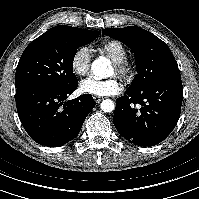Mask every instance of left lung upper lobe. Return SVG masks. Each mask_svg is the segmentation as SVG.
I'll return each mask as SVG.
<instances>
[{
    "instance_id": "1",
    "label": "left lung upper lobe",
    "mask_w": 199,
    "mask_h": 199,
    "mask_svg": "<svg viewBox=\"0 0 199 199\" xmlns=\"http://www.w3.org/2000/svg\"><path fill=\"white\" fill-rule=\"evenodd\" d=\"M103 34L123 42L134 52L138 74L129 90H141L156 80L180 75L169 47L152 33L136 26H127L107 28Z\"/></svg>"
}]
</instances>
